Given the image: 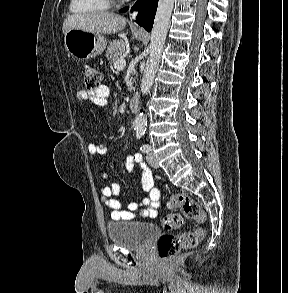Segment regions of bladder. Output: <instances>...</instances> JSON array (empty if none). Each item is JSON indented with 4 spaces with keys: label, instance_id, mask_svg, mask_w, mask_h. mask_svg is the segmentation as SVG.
Segmentation results:
<instances>
[{
    "label": "bladder",
    "instance_id": "obj_1",
    "mask_svg": "<svg viewBox=\"0 0 288 293\" xmlns=\"http://www.w3.org/2000/svg\"><path fill=\"white\" fill-rule=\"evenodd\" d=\"M107 235L115 244L141 250L158 235V228L146 222L112 221L106 226Z\"/></svg>",
    "mask_w": 288,
    "mask_h": 293
}]
</instances>
